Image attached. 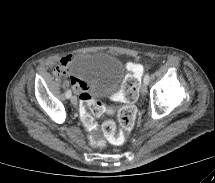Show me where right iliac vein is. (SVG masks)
I'll return each instance as SVG.
<instances>
[{
	"label": "right iliac vein",
	"instance_id": "63e3f726",
	"mask_svg": "<svg viewBox=\"0 0 215 183\" xmlns=\"http://www.w3.org/2000/svg\"><path fill=\"white\" fill-rule=\"evenodd\" d=\"M71 103H72L73 105H77V98H76V96H72V97H71Z\"/></svg>",
	"mask_w": 215,
	"mask_h": 183
}]
</instances>
